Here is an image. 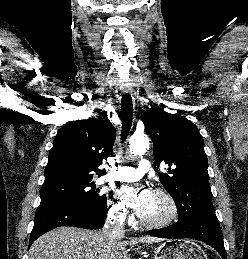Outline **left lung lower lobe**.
Returning <instances> with one entry per match:
<instances>
[{
  "label": "left lung lower lobe",
  "instance_id": "1",
  "mask_svg": "<svg viewBox=\"0 0 248 259\" xmlns=\"http://www.w3.org/2000/svg\"><path fill=\"white\" fill-rule=\"evenodd\" d=\"M147 234L160 238L200 240L218 251L223 259H227L221 228L215 213L199 214L178 220L168 227L150 230Z\"/></svg>",
  "mask_w": 248,
  "mask_h": 259
}]
</instances>
